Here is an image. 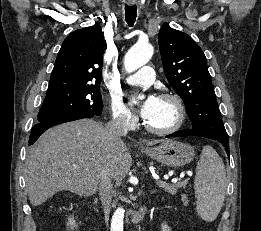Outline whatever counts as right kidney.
<instances>
[{"mask_svg": "<svg viewBox=\"0 0 261 231\" xmlns=\"http://www.w3.org/2000/svg\"><path fill=\"white\" fill-rule=\"evenodd\" d=\"M67 226H68V228L70 227L72 230H74V228H77L76 221L74 220V217L68 218Z\"/></svg>", "mask_w": 261, "mask_h": 231, "instance_id": "right-kidney-1", "label": "right kidney"}]
</instances>
